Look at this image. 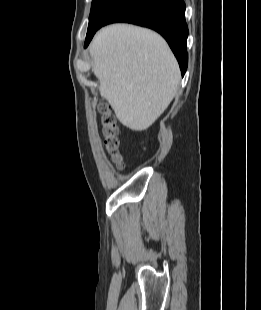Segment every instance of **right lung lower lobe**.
I'll list each match as a JSON object with an SVG mask.
<instances>
[{"label":"right lung lower lobe","mask_w":261,"mask_h":310,"mask_svg":"<svg viewBox=\"0 0 261 310\" xmlns=\"http://www.w3.org/2000/svg\"><path fill=\"white\" fill-rule=\"evenodd\" d=\"M114 22H129L160 33L175 54L182 76L185 74L188 65V27L183 0H127L100 26L87 33L85 47L100 27Z\"/></svg>","instance_id":"obj_1"}]
</instances>
